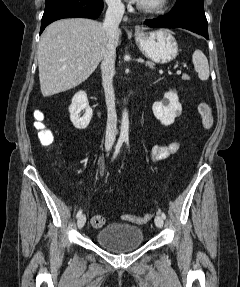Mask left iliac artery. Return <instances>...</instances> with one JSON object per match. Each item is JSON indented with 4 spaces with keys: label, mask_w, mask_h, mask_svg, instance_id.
I'll use <instances>...</instances> for the list:
<instances>
[{
    "label": "left iliac artery",
    "mask_w": 240,
    "mask_h": 287,
    "mask_svg": "<svg viewBox=\"0 0 240 287\" xmlns=\"http://www.w3.org/2000/svg\"><path fill=\"white\" fill-rule=\"evenodd\" d=\"M126 143H127V145H129L128 140L126 141ZM161 217H162L163 219H166V215H165V213H164V212H161Z\"/></svg>",
    "instance_id": "obj_1"
}]
</instances>
